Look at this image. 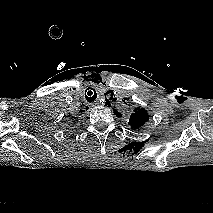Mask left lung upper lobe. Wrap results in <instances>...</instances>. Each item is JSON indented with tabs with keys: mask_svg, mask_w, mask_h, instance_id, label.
<instances>
[{
	"mask_svg": "<svg viewBox=\"0 0 213 213\" xmlns=\"http://www.w3.org/2000/svg\"><path fill=\"white\" fill-rule=\"evenodd\" d=\"M115 111L116 115H119V113L117 114V110ZM148 120L149 115L147 111L143 108H136L130 116L129 124L132 128L138 129L143 126Z\"/></svg>",
	"mask_w": 213,
	"mask_h": 213,
	"instance_id": "5c2ea615",
	"label": "left lung upper lobe"
}]
</instances>
